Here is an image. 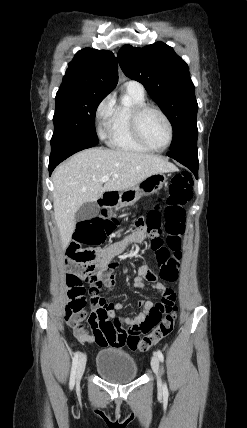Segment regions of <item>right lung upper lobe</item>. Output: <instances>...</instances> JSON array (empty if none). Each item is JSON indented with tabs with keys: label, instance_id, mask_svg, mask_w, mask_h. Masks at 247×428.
<instances>
[{
	"label": "right lung upper lobe",
	"instance_id": "1",
	"mask_svg": "<svg viewBox=\"0 0 247 428\" xmlns=\"http://www.w3.org/2000/svg\"><path fill=\"white\" fill-rule=\"evenodd\" d=\"M117 82V59L114 55L107 50L85 48L74 56L57 94L90 92L107 95Z\"/></svg>",
	"mask_w": 247,
	"mask_h": 428
}]
</instances>
